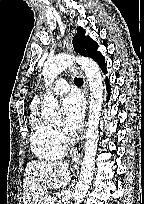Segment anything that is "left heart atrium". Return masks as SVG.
I'll list each match as a JSON object with an SVG mask.
<instances>
[{"label":"left heart atrium","mask_w":144,"mask_h":204,"mask_svg":"<svg viewBox=\"0 0 144 204\" xmlns=\"http://www.w3.org/2000/svg\"><path fill=\"white\" fill-rule=\"evenodd\" d=\"M64 114V130L70 135H76L82 127L85 106L84 101L78 94L67 96L62 102Z\"/></svg>","instance_id":"left-heart-atrium-1"}]
</instances>
